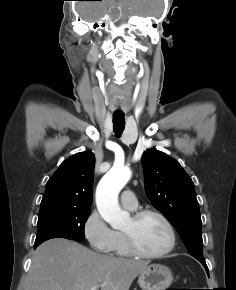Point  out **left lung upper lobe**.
<instances>
[{
  "instance_id": "5c2ea615",
  "label": "left lung upper lobe",
  "mask_w": 236,
  "mask_h": 290,
  "mask_svg": "<svg viewBox=\"0 0 236 290\" xmlns=\"http://www.w3.org/2000/svg\"><path fill=\"white\" fill-rule=\"evenodd\" d=\"M145 191L152 205L172 223L188 252L208 267L203 257L202 221L194 184L167 154L148 149L142 156Z\"/></svg>"
}]
</instances>
